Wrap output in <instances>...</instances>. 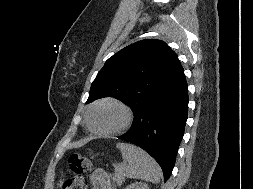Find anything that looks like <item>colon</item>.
<instances>
[{"instance_id": "1", "label": "colon", "mask_w": 253, "mask_h": 189, "mask_svg": "<svg viewBox=\"0 0 253 189\" xmlns=\"http://www.w3.org/2000/svg\"><path fill=\"white\" fill-rule=\"evenodd\" d=\"M91 168L89 158L73 154L68 160L65 174L60 180V189H86L85 173Z\"/></svg>"}]
</instances>
